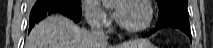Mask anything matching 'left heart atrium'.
Returning a JSON list of instances; mask_svg holds the SVG:
<instances>
[{
	"instance_id": "39dd6f15",
	"label": "left heart atrium",
	"mask_w": 213,
	"mask_h": 48,
	"mask_svg": "<svg viewBox=\"0 0 213 48\" xmlns=\"http://www.w3.org/2000/svg\"><path fill=\"white\" fill-rule=\"evenodd\" d=\"M122 13H123V11H122V8H121V7H118V8L116 9V11H115V15H116L119 19L121 18Z\"/></svg>"
}]
</instances>
